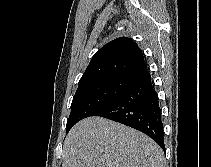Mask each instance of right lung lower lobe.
<instances>
[{
    "instance_id": "obj_1",
    "label": "right lung lower lobe",
    "mask_w": 211,
    "mask_h": 167,
    "mask_svg": "<svg viewBox=\"0 0 211 167\" xmlns=\"http://www.w3.org/2000/svg\"><path fill=\"white\" fill-rule=\"evenodd\" d=\"M130 81L131 85L126 91L93 116L105 117L135 128L165 150L159 99L149 71L146 69L140 72Z\"/></svg>"
}]
</instances>
